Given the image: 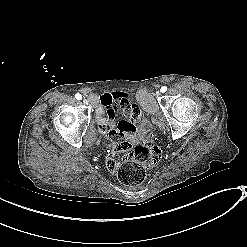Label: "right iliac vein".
Returning <instances> with one entry per match:
<instances>
[{
  "instance_id": "1",
  "label": "right iliac vein",
  "mask_w": 247,
  "mask_h": 247,
  "mask_svg": "<svg viewBox=\"0 0 247 247\" xmlns=\"http://www.w3.org/2000/svg\"><path fill=\"white\" fill-rule=\"evenodd\" d=\"M83 103L86 104V105L89 104V102H88V100L86 98L83 99Z\"/></svg>"
}]
</instances>
